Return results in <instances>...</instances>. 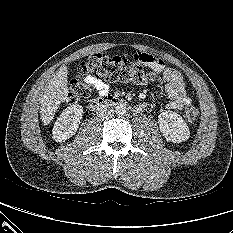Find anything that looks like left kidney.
<instances>
[{
    "label": "left kidney",
    "instance_id": "obj_1",
    "mask_svg": "<svg viewBox=\"0 0 233 233\" xmlns=\"http://www.w3.org/2000/svg\"><path fill=\"white\" fill-rule=\"evenodd\" d=\"M159 128L165 139L181 143L190 137V130L182 117L173 111H163L158 116Z\"/></svg>",
    "mask_w": 233,
    "mask_h": 233
}]
</instances>
